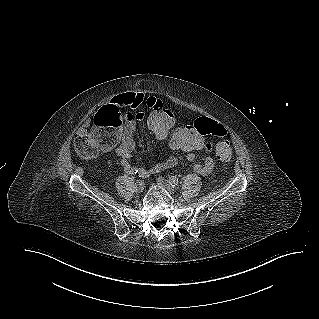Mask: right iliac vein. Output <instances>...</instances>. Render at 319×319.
Listing matches in <instances>:
<instances>
[{"mask_svg":"<svg viewBox=\"0 0 319 319\" xmlns=\"http://www.w3.org/2000/svg\"><path fill=\"white\" fill-rule=\"evenodd\" d=\"M143 190H144V182H142L141 180H138L135 183V192L141 193Z\"/></svg>","mask_w":319,"mask_h":319,"instance_id":"right-iliac-vein-1","label":"right iliac vein"}]
</instances>
